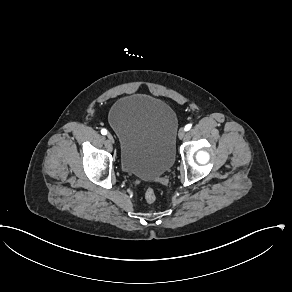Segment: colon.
<instances>
[{"label": "colon", "instance_id": "1", "mask_svg": "<svg viewBox=\"0 0 292 292\" xmlns=\"http://www.w3.org/2000/svg\"><path fill=\"white\" fill-rule=\"evenodd\" d=\"M144 198L147 204L151 205L156 202V192L153 188L149 187L144 193Z\"/></svg>", "mask_w": 292, "mask_h": 292}]
</instances>
